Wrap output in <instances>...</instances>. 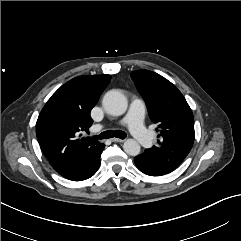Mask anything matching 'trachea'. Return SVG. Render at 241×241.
<instances>
[{"instance_id": "trachea-1", "label": "trachea", "mask_w": 241, "mask_h": 241, "mask_svg": "<svg viewBox=\"0 0 241 241\" xmlns=\"http://www.w3.org/2000/svg\"><path fill=\"white\" fill-rule=\"evenodd\" d=\"M126 136H127V134L125 132H123V131H120V130H115V131L108 130V131L102 132L101 134H99L98 136H95V137L98 138V139H109V138H113V137L120 138V139H125Z\"/></svg>"}]
</instances>
